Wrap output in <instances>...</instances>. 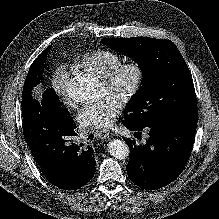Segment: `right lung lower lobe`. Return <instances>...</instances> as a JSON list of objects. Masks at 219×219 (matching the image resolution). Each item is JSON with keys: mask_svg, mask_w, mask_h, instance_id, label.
<instances>
[{"mask_svg": "<svg viewBox=\"0 0 219 219\" xmlns=\"http://www.w3.org/2000/svg\"><path fill=\"white\" fill-rule=\"evenodd\" d=\"M28 96L31 100L22 110V126L35 161L54 186L64 190L81 188L96 170L92 147L75 141L78 131L73 118L65 119L42 107L31 93Z\"/></svg>", "mask_w": 219, "mask_h": 219, "instance_id": "98d812e1", "label": "right lung lower lobe"}]
</instances>
